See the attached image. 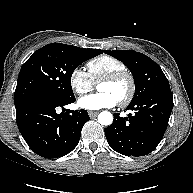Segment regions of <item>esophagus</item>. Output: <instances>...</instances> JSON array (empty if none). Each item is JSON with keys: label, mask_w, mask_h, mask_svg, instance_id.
Returning <instances> with one entry per match:
<instances>
[{"label": "esophagus", "mask_w": 193, "mask_h": 193, "mask_svg": "<svg viewBox=\"0 0 193 193\" xmlns=\"http://www.w3.org/2000/svg\"><path fill=\"white\" fill-rule=\"evenodd\" d=\"M88 114H89L90 118H94V117H96L98 115V112H96V111H89Z\"/></svg>", "instance_id": "34e87169"}]
</instances>
